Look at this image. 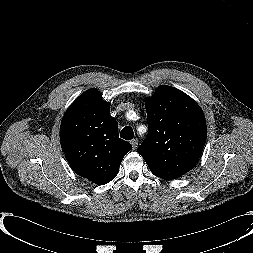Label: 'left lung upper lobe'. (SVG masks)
Here are the masks:
<instances>
[{
	"mask_svg": "<svg viewBox=\"0 0 253 253\" xmlns=\"http://www.w3.org/2000/svg\"><path fill=\"white\" fill-rule=\"evenodd\" d=\"M148 135L138 147L150 171L170 180L190 171L207 138L199 105L184 92L167 85L145 101Z\"/></svg>",
	"mask_w": 253,
	"mask_h": 253,
	"instance_id": "left-lung-upper-lobe-1",
	"label": "left lung upper lobe"
}]
</instances>
